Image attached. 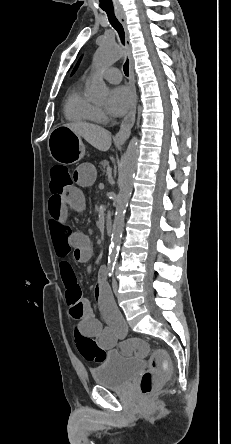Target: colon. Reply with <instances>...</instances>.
I'll use <instances>...</instances> for the list:
<instances>
[{"instance_id": "obj_1", "label": "colon", "mask_w": 231, "mask_h": 444, "mask_svg": "<svg viewBox=\"0 0 231 444\" xmlns=\"http://www.w3.org/2000/svg\"><path fill=\"white\" fill-rule=\"evenodd\" d=\"M72 176L64 165H54L50 169L51 197L60 198L72 185ZM75 345L80 355L92 362L101 363L106 351L100 348L90 337L84 336L78 329L75 331ZM124 348L138 356H148L149 368L141 375L139 388L142 394H150L160 386L170 374L168 355L160 349L151 351L148 343L139 338H129L124 342Z\"/></svg>"}]
</instances>
